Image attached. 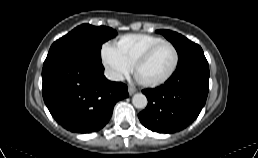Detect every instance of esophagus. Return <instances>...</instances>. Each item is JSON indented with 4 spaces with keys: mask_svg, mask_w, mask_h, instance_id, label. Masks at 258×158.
Here are the masks:
<instances>
[{
    "mask_svg": "<svg viewBox=\"0 0 258 158\" xmlns=\"http://www.w3.org/2000/svg\"><path fill=\"white\" fill-rule=\"evenodd\" d=\"M129 90H130V91H133V87L130 86Z\"/></svg>",
    "mask_w": 258,
    "mask_h": 158,
    "instance_id": "esophagus-1",
    "label": "esophagus"
}]
</instances>
